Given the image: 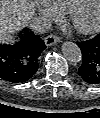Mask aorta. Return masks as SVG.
Returning <instances> with one entry per match:
<instances>
[{
	"instance_id": "obj_1",
	"label": "aorta",
	"mask_w": 100,
	"mask_h": 118,
	"mask_svg": "<svg viewBox=\"0 0 100 118\" xmlns=\"http://www.w3.org/2000/svg\"><path fill=\"white\" fill-rule=\"evenodd\" d=\"M62 53L66 57V59L71 62L79 63L82 60L81 49L74 42H64L62 44Z\"/></svg>"
}]
</instances>
